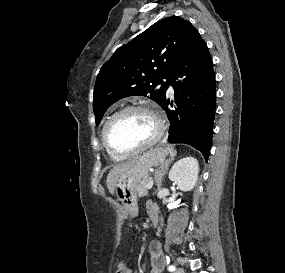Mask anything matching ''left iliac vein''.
<instances>
[{
    "mask_svg": "<svg viewBox=\"0 0 285 273\" xmlns=\"http://www.w3.org/2000/svg\"><path fill=\"white\" fill-rule=\"evenodd\" d=\"M175 273H185L183 268H178Z\"/></svg>",
    "mask_w": 285,
    "mask_h": 273,
    "instance_id": "left-iliac-vein-1",
    "label": "left iliac vein"
}]
</instances>
